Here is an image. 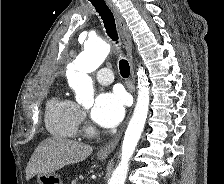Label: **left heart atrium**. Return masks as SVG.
<instances>
[{
    "instance_id": "39dd6f15",
    "label": "left heart atrium",
    "mask_w": 224,
    "mask_h": 184,
    "mask_svg": "<svg viewBox=\"0 0 224 184\" xmlns=\"http://www.w3.org/2000/svg\"><path fill=\"white\" fill-rule=\"evenodd\" d=\"M124 113V95L114 90L101 93L97 96L91 109V118L101 127L112 128L120 123Z\"/></svg>"
}]
</instances>
